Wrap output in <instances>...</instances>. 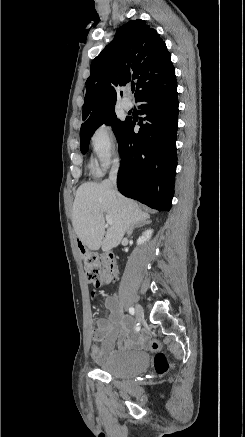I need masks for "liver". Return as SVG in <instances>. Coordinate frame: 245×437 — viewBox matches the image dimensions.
Listing matches in <instances>:
<instances>
[{
  "label": "liver",
  "instance_id": "6515ba94",
  "mask_svg": "<svg viewBox=\"0 0 245 437\" xmlns=\"http://www.w3.org/2000/svg\"><path fill=\"white\" fill-rule=\"evenodd\" d=\"M113 223L105 231V217ZM150 215L139 205L118 193L109 180L84 183L77 192L72 208V224L77 237L90 250L108 252L117 247L125 232L134 224L145 222Z\"/></svg>",
  "mask_w": 245,
  "mask_h": 437
}]
</instances>
